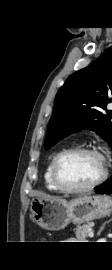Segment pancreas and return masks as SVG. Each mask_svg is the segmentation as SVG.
<instances>
[{
    "mask_svg": "<svg viewBox=\"0 0 112 270\" xmlns=\"http://www.w3.org/2000/svg\"><path fill=\"white\" fill-rule=\"evenodd\" d=\"M93 226V223H86L82 226L78 225L75 229V235H76V238L78 240H80L81 242H86L87 240V237H88V234H89V231L91 230Z\"/></svg>",
    "mask_w": 112,
    "mask_h": 270,
    "instance_id": "1",
    "label": "pancreas"
}]
</instances>
